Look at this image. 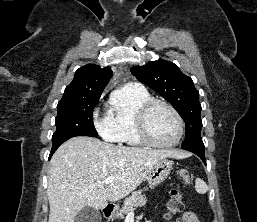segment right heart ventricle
I'll return each instance as SVG.
<instances>
[{"label":"right heart ventricle","mask_w":257,"mask_h":222,"mask_svg":"<svg viewBox=\"0 0 257 222\" xmlns=\"http://www.w3.org/2000/svg\"><path fill=\"white\" fill-rule=\"evenodd\" d=\"M151 99L146 89L125 86L113 97L108 111L113 140L128 147H142L145 144L139 138L136 126L140 107Z\"/></svg>","instance_id":"e07e8e85"}]
</instances>
